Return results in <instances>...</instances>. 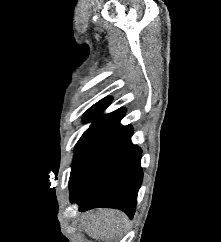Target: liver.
Here are the masks:
<instances>
[{"label": "liver", "instance_id": "1", "mask_svg": "<svg viewBox=\"0 0 221 242\" xmlns=\"http://www.w3.org/2000/svg\"><path fill=\"white\" fill-rule=\"evenodd\" d=\"M127 216L117 210L99 209L86 212L81 217V226L93 239L112 242L122 236Z\"/></svg>", "mask_w": 221, "mask_h": 242}]
</instances>
